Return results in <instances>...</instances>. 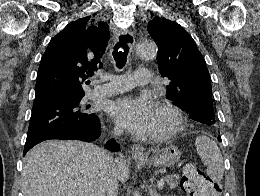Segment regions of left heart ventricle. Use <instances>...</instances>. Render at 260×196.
<instances>
[{"label": "left heart ventricle", "mask_w": 260, "mask_h": 196, "mask_svg": "<svg viewBox=\"0 0 260 196\" xmlns=\"http://www.w3.org/2000/svg\"><path fill=\"white\" fill-rule=\"evenodd\" d=\"M169 123V116L159 107L154 105V119L150 131L158 130Z\"/></svg>", "instance_id": "obj_1"}]
</instances>
